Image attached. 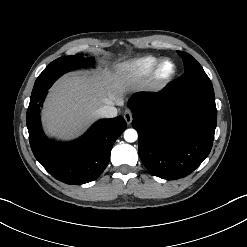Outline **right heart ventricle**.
Here are the masks:
<instances>
[{
    "label": "right heart ventricle",
    "instance_id": "right-heart-ventricle-1",
    "mask_svg": "<svg viewBox=\"0 0 247 247\" xmlns=\"http://www.w3.org/2000/svg\"><path fill=\"white\" fill-rule=\"evenodd\" d=\"M161 59L155 56H143L118 65L121 76L129 82H138L150 76L155 65Z\"/></svg>",
    "mask_w": 247,
    "mask_h": 247
}]
</instances>
